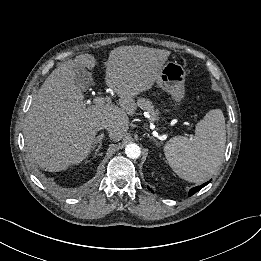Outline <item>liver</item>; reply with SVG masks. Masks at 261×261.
<instances>
[{
	"label": "liver",
	"instance_id": "1",
	"mask_svg": "<svg viewBox=\"0 0 261 261\" xmlns=\"http://www.w3.org/2000/svg\"><path fill=\"white\" fill-rule=\"evenodd\" d=\"M170 51L144 46H120L106 64V85L119 95V105H87L75 82L79 67L92 69L93 55L82 54L57 67L33 98L24 126L29 155L44 170L58 172L79 164L89 154L101 125L120 141L136 110L134 97L150 89L159 78Z\"/></svg>",
	"mask_w": 261,
	"mask_h": 261
}]
</instances>
